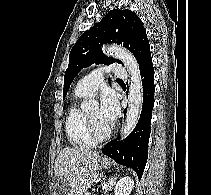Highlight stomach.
Instances as JSON below:
<instances>
[{
  "mask_svg": "<svg viewBox=\"0 0 211 195\" xmlns=\"http://www.w3.org/2000/svg\"><path fill=\"white\" fill-rule=\"evenodd\" d=\"M97 170H98V167H102V168H105V169H108L110 168V161L107 160L106 158H101L98 160V164H97ZM98 177V174H97V171L92 175V182H94ZM55 185H62V186H65L66 185V182L63 181L61 178L57 177V180L55 181ZM82 195V194H80Z\"/></svg>",
  "mask_w": 211,
  "mask_h": 195,
  "instance_id": "1",
  "label": "stomach"
}]
</instances>
